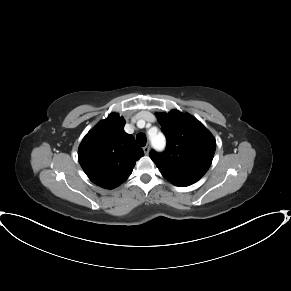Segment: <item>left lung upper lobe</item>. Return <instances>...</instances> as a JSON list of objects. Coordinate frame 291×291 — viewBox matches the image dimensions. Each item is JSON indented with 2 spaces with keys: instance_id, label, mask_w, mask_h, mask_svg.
<instances>
[{
  "instance_id": "5c2ea615",
  "label": "left lung upper lobe",
  "mask_w": 291,
  "mask_h": 291,
  "mask_svg": "<svg viewBox=\"0 0 291 291\" xmlns=\"http://www.w3.org/2000/svg\"><path fill=\"white\" fill-rule=\"evenodd\" d=\"M158 121L167 138L166 150L150 152V158L161 174L176 186L198 181L209 169L216 141L195 117L172 110L158 113Z\"/></svg>"
}]
</instances>
